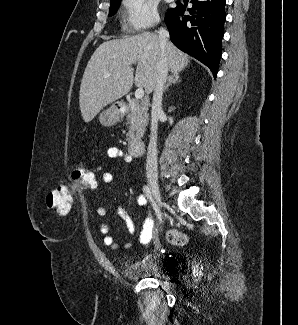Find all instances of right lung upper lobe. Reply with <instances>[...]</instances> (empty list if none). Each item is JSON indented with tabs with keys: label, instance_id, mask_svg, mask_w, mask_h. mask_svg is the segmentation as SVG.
I'll use <instances>...</instances> for the list:
<instances>
[{
	"label": "right lung upper lobe",
	"instance_id": "cb5924a9",
	"mask_svg": "<svg viewBox=\"0 0 298 325\" xmlns=\"http://www.w3.org/2000/svg\"><path fill=\"white\" fill-rule=\"evenodd\" d=\"M116 1H118V0H111V3H112V2H116Z\"/></svg>",
	"mask_w": 298,
	"mask_h": 325
}]
</instances>
